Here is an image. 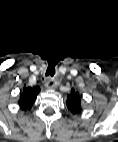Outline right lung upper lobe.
I'll use <instances>...</instances> for the list:
<instances>
[{
  "instance_id": "cb5924a9",
  "label": "right lung upper lobe",
  "mask_w": 118,
  "mask_h": 142,
  "mask_svg": "<svg viewBox=\"0 0 118 142\" xmlns=\"http://www.w3.org/2000/svg\"><path fill=\"white\" fill-rule=\"evenodd\" d=\"M39 92L40 88L38 86L24 87L20 93V99H19L20 108L24 111L29 110L32 107Z\"/></svg>"
}]
</instances>
